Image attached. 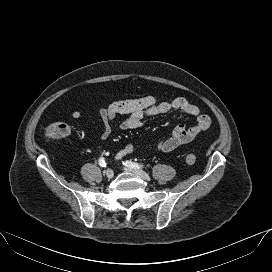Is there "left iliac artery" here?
<instances>
[{"mask_svg": "<svg viewBox=\"0 0 272 272\" xmlns=\"http://www.w3.org/2000/svg\"><path fill=\"white\" fill-rule=\"evenodd\" d=\"M123 164L129 168H134V169H142L143 168V165H140L138 163H134L132 161H125V162H123Z\"/></svg>", "mask_w": 272, "mask_h": 272, "instance_id": "44dca946", "label": "left iliac artery"}]
</instances>
